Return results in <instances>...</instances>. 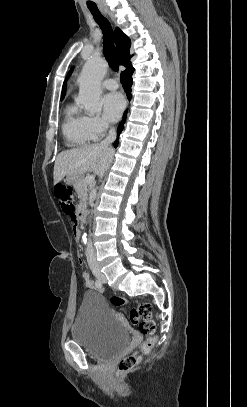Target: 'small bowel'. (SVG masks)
I'll use <instances>...</instances> for the list:
<instances>
[{
	"label": "small bowel",
	"mask_w": 247,
	"mask_h": 407,
	"mask_svg": "<svg viewBox=\"0 0 247 407\" xmlns=\"http://www.w3.org/2000/svg\"><path fill=\"white\" fill-rule=\"evenodd\" d=\"M69 218L73 223H76V215H75V213L73 215L69 216ZM73 233H74L75 238H79V230H78L76 225L74 226ZM83 278H84V282H85L86 287H88V288L93 287V282L89 278L87 273L83 274Z\"/></svg>",
	"instance_id": "c3829d8e"
}]
</instances>
